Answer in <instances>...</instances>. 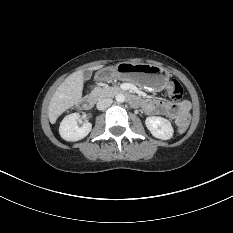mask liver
I'll list each match as a JSON object with an SVG mask.
<instances>
[{"label":"liver","mask_w":233,"mask_h":233,"mask_svg":"<svg viewBox=\"0 0 233 233\" xmlns=\"http://www.w3.org/2000/svg\"><path fill=\"white\" fill-rule=\"evenodd\" d=\"M102 67V65H99L91 67L89 70H98ZM83 85V71H77L69 75L57 88L48 106V117L50 123L54 124L63 112L80 101Z\"/></svg>","instance_id":"6515ba94"}]
</instances>
